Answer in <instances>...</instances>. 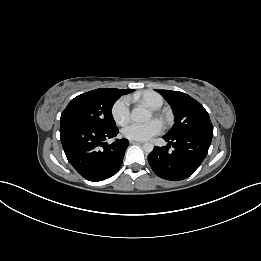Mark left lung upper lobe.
<instances>
[{
    "label": "left lung upper lobe",
    "mask_w": 261,
    "mask_h": 261,
    "mask_svg": "<svg viewBox=\"0 0 261 261\" xmlns=\"http://www.w3.org/2000/svg\"><path fill=\"white\" fill-rule=\"evenodd\" d=\"M156 91L166 98L175 115V124L166 136L175 137L188 133L213 134L208 112L198 101L179 91Z\"/></svg>",
    "instance_id": "left-lung-upper-lobe-1"
}]
</instances>
